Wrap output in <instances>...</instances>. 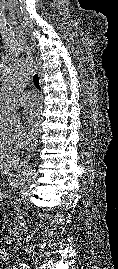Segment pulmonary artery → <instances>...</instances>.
<instances>
[{
	"instance_id": "obj_1",
	"label": "pulmonary artery",
	"mask_w": 118,
	"mask_h": 269,
	"mask_svg": "<svg viewBox=\"0 0 118 269\" xmlns=\"http://www.w3.org/2000/svg\"><path fill=\"white\" fill-rule=\"evenodd\" d=\"M38 101V97L33 90L24 92L20 98V103L24 106L35 104Z\"/></svg>"
}]
</instances>
